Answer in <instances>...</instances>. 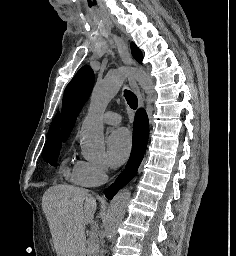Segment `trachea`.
Segmentation results:
<instances>
[{
	"instance_id": "trachea-1",
	"label": "trachea",
	"mask_w": 236,
	"mask_h": 256,
	"mask_svg": "<svg viewBox=\"0 0 236 256\" xmlns=\"http://www.w3.org/2000/svg\"><path fill=\"white\" fill-rule=\"evenodd\" d=\"M124 97H125L128 105L130 106V108L135 110L138 106L137 96L130 90H124Z\"/></svg>"
}]
</instances>
